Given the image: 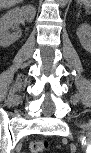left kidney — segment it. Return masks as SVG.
<instances>
[{"instance_id": "5707ae66", "label": "left kidney", "mask_w": 91, "mask_h": 153, "mask_svg": "<svg viewBox=\"0 0 91 153\" xmlns=\"http://www.w3.org/2000/svg\"><path fill=\"white\" fill-rule=\"evenodd\" d=\"M90 34H91V27L87 23L80 25V27L77 29V36L80 40V43L82 47L88 52L91 51V42L90 40H88Z\"/></svg>"}]
</instances>
